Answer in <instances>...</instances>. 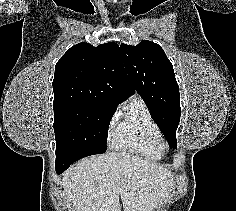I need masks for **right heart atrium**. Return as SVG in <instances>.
Segmentation results:
<instances>
[{
    "mask_svg": "<svg viewBox=\"0 0 236 211\" xmlns=\"http://www.w3.org/2000/svg\"><path fill=\"white\" fill-rule=\"evenodd\" d=\"M112 124H113V121H110V122H109V127H111Z\"/></svg>",
    "mask_w": 236,
    "mask_h": 211,
    "instance_id": "right-heart-atrium-1",
    "label": "right heart atrium"
}]
</instances>
